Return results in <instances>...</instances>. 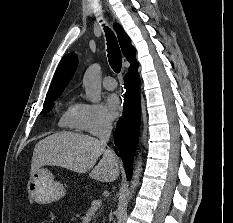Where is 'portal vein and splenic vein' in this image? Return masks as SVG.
<instances>
[{
    "label": "portal vein and splenic vein",
    "instance_id": "1",
    "mask_svg": "<svg viewBox=\"0 0 233 223\" xmlns=\"http://www.w3.org/2000/svg\"><path fill=\"white\" fill-rule=\"evenodd\" d=\"M101 203V199H94V201H92V205H101Z\"/></svg>",
    "mask_w": 233,
    "mask_h": 223
}]
</instances>
